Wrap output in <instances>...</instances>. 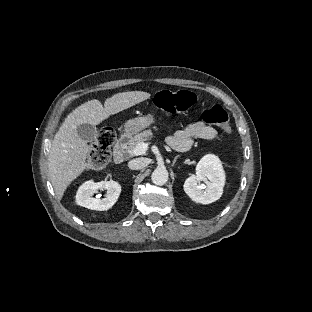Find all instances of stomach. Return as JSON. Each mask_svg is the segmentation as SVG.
<instances>
[{
  "label": "stomach",
  "instance_id": "obj_1",
  "mask_svg": "<svg viewBox=\"0 0 312 312\" xmlns=\"http://www.w3.org/2000/svg\"><path fill=\"white\" fill-rule=\"evenodd\" d=\"M156 122V118L152 114L138 116L127 120L124 123L123 131L129 136H134L138 132L146 129Z\"/></svg>",
  "mask_w": 312,
  "mask_h": 312
}]
</instances>
